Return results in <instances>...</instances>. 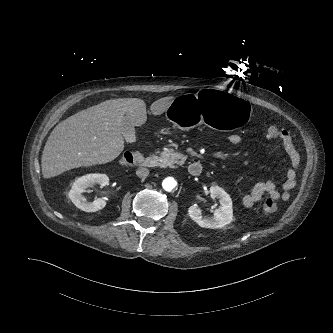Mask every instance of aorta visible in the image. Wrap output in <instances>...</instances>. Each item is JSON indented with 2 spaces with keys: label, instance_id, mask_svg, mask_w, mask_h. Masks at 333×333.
I'll list each match as a JSON object with an SVG mask.
<instances>
[{
  "label": "aorta",
  "instance_id": "762f6f07",
  "mask_svg": "<svg viewBox=\"0 0 333 333\" xmlns=\"http://www.w3.org/2000/svg\"><path fill=\"white\" fill-rule=\"evenodd\" d=\"M177 185V182L172 177H167L162 182V187L166 191H172Z\"/></svg>",
  "mask_w": 333,
  "mask_h": 333
}]
</instances>
